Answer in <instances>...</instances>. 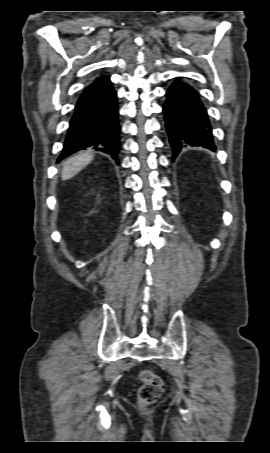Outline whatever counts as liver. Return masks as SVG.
<instances>
[{
    "mask_svg": "<svg viewBox=\"0 0 270 453\" xmlns=\"http://www.w3.org/2000/svg\"><path fill=\"white\" fill-rule=\"evenodd\" d=\"M93 160V155L88 153H81L68 158L63 163L62 180H68L80 172Z\"/></svg>",
    "mask_w": 270,
    "mask_h": 453,
    "instance_id": "liver-1",
    "label": "liver"
}]
</instances>
